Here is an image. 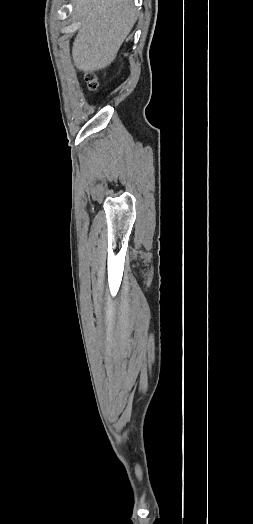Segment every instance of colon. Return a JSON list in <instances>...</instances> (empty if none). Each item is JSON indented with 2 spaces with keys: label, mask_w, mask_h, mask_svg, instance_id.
Wrapping results in <instances>:
<instances>
[{
  "label": "colon",
  "mask_w": 253,
  "mask_h": 524,
  "mask_svg": "<svg viewBox=\"0 0 253 524\" xmlns=\"http://www.w3.org/2000/svg\"><path fill=\"white\" fill-rule=\"evenodd\" d=\"M84 85L86 87V89L90 92H95L97 91L98 87H99V82L97 80V77L94 73L92 72H87L85 75H84Z\"/></svg>",
  "instance_id": "5ec220e1"
}]
</instances>
